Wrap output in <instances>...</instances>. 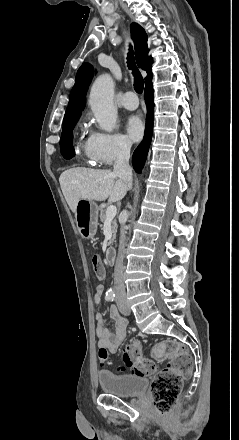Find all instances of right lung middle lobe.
<instances>
[{"label": "right lung middle lobe", "instance_id": "dd1d6c3e", "mask_svg": "<svg viewBox=\"0 0 239 440\" xmlns=\"http://www.w3.org/2000/svg\"><path fill=\"white\" fill-rule=\"evenodd\" d=\"M77 121L78 119L63 125L61 140H60L61 153H64L65 151L73 148L72 130L76 125Z\"/></svg>", "mask_w": 239, "mask_h": 440}]
</instances>
